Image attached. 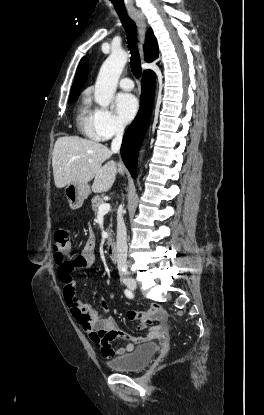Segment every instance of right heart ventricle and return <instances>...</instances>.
Wrapping results in <instances>:
<instances>
[{
	"mask_svg": "<svg viewBox=\"0 0 264 415\" xmlns=\"http://www.w3.org/2000/svg\"><path fill=\"white\" fill-rule=\"evenodd\" d=\"M94 112L87 95L81 99L76 113V125L78 129L92 140H101V136L96 130Z\"/></svg>",
	"mask_w": 264,
	"mask_h": 415,
	"instance_id": "obj_1",
	"label": "right heart ventricle"
}]
</instances>
